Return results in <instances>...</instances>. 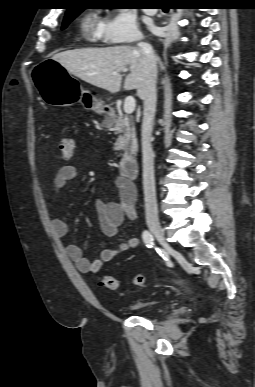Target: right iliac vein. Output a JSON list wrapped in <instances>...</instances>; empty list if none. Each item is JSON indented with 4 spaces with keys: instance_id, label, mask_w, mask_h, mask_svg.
<instances>
[{
    "instance_id": "obj_1",
    "label": "right iliac vein",
    "mask_w": 255,
    "mask_h": 387,
    "mask_svg": "<svg viewBox=\"0 0 255 387\" xmlns=\"http://www.w3.org/2000/svg\"><path fill=\"white\" fill-rule=\"evenodd\" d=\"M148 226H149V229L151 230V232L154 234V236L158 240V242L164 247L165 250L168 251L170 247H169L168 243L166 242L165 234H164V231L161 228L160 224L158 222H150L148 224Z\"/></svg>"
}]
</instances>
